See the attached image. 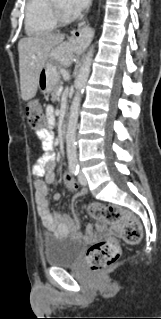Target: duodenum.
<instances>
[{
    "mask_svg": "<svg viewBox=\"0 0 161 319\" xmlns=\"http://www.w3.org/2000/svg\"><path fill=\"white\" fill-rule=\"evenodd\" d=\"M66 133H67V127L66 126H62L61 130H60V135L62 137H64L66 135Z\"/></svg>",
    "mask_w": 161,
    "mask_h": 319,
    "instance_id": "duodenum-1",
    "label": "duodenum"
}]
</instances>
